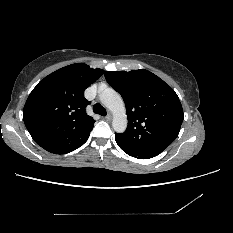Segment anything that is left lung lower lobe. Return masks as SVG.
I'll return each mask as SVG.
<instances>
[{"mask_svg":"<svg viewBox=\"0 0 233 233\" xmlns=\"http://www.w3.org/2000/svg\"><path fill=\"white\" fill-rule=\"evenodd\" d=\"M116 143L118 144V146L128 155L139 158V159H149L152 158L154 156L151 155H146V154H141V153H137L134 150H132L131 148L125 146L124 144H122L116 137H115Z\"/></svg>","mask_w":233,"mask_h":233,"instance_id":"left-lung-lower-lobe-1","label":"left lung lower lobe"}]
</instances>
